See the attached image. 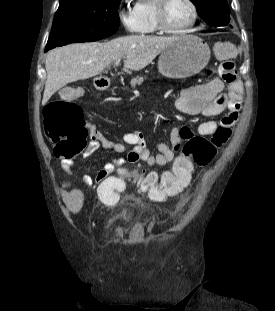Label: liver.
<instances>
[{"label": "liver", "mask_w": 275, "mask_h": 311, "mask_svg": "<svg viewBox=\"0 0 275 311\" xmlns=\"http://www.w3.org/2000/svg\"><path fill=\"white\" fill-rule=\"evenodd\" d=\"M177 38L129 35L107 43L71 44L54 49L46 58L42 104L68 83L94 77L121 58L125 59L126 73L142 70Z\"/></svg>", "instance_id": "6515ba94"}]
</instances>
